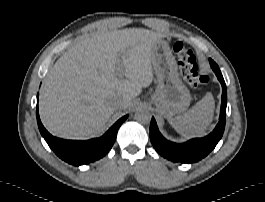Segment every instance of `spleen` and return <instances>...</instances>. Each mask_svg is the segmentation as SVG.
<instances>
[{"mask_svg": "<svg viewBox=\"0 0 265 202\" xmlns=\"http://www.w3.org/2000/svg\"><path fill=\"white\" fill-rule=\"evenodd\" d=\"M214 99L207 93L183 115L168 119L171 126L182 136H203L213 119Z\"/></svg>", "mask_w": 265, "mask_h": 202, "instance_id": "3e777b00", "label": "spleen"}]
</instances>
